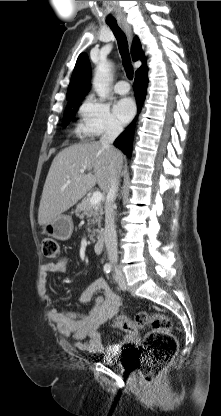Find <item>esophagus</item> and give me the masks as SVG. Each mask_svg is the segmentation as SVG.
<instances>
[{
  "label": "esophagus",
  "instance_id": "obj_1",
  "mask_svg": "<svg viewBox=\"0 0 221 416\" xmlns=\"http://www.w3.org/2000/svg\"><path fill=\"white\" fill-rule=\"evenodd\" d=\"M122 27H123L124 31L126 32L129 40H131L132 39L131 26L126 21H124V22H122Z\"/></svg>",
  "mask_w": 221,
  "mask_h": 416
}]
</instances>
